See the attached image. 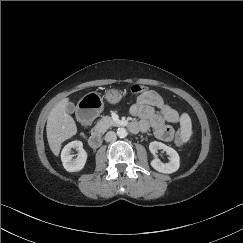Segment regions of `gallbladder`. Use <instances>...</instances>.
Returning a JSON list of instances; mask_svg holds the SVG:
<instances>
[{"label": "gallbladder", "instance_id": "1", "mask_svg": "<svg viewBox=\"0 0 243 243\" xmlns=\"http://www.w3.org/2000/svg\"><path fill=\"white\" fill-rule=\"evenodd\" d=\"M66 111L70 114L74 113L76 111V107L75 105L72 103V102H69L67 105H66Z\"/></svg>", "mask_w": 243, "mask_h": 243}]
</instances>
